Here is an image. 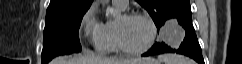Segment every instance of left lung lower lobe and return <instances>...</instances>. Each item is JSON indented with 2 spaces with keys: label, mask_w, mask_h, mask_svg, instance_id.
<instances>
[{
  "label": "left lung lower lobe",
  "mask_w": 242,
  "mask_h": 64,
  "mask_svg": "<svg viewBox=\"0 0 242 64\" xmlns=\"http://www.w3.org/2000/svg\"><path fill=\"white\" fill-rule=\"evenodd\" d=\"M174 19L184 28L185 38L178 49H173L164 42H156L153 47L142 56L159 55L163 53H178L194 59L198 64H204L201 47L192 25L191 12L187 11L177 15Z\"/></svg>",
  "instance_id": "1"
}]
</instances>
